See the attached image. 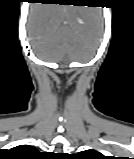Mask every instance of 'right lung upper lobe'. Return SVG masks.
Returning <instances> with one entry per match:
<instances>
[{
	"label": "right lung upper lobe",
	"mask_w": 134,
	"mask_h": 159,
	"mask_svg": "<svg viewBox=\"0 0 134 159\" xmlns=\"http://www.w3.org/2000/svg\"><path fill=\"white\" fill-rule=\"evenodd\" d=\"M15 149H17V151L22 153H32L37 151L34 147L28 145H21L16 147Z\"/></svg>",
	"instance_id": "cb5924a9"
}]
</instances>
